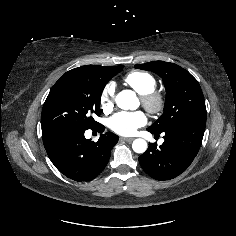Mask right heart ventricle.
<instances>
[{
    "mask_svg": "<svg viewBox=\"0 0 236 236\" xmlns=\"http://www.w3.org/2000/svg\"><path fill=\"white\" fill-rule=\"evenodd\" d=\"M123 81L140 95L156 88V79L145 71H132L123 78Z\"/></svg>",
    "mask_w": 236,
    "mask_h": 236,
    "instance_id": "obj_1",
    "label": "right heart ventricle"
}]
</instances>
